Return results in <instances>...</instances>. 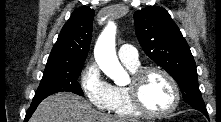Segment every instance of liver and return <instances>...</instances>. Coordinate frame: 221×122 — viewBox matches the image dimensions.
Listing matches in <instances>:
<instances>
[{
	"label": "liver",
	"instance_id": "liver-1",
	"mask_svg": "<svg viewBox=\"0 0 221 122\" xmlns=\"http://www.w3.org/2000/svg\"><path fill=\"white\" fill-rule=\"evenodd\" d=\"M29 122H138L96 111L82 97L64 92L44 99Z\"/></svg>",
	"mask_w": 221,
	"mask_h": 122
}]
</instances>
